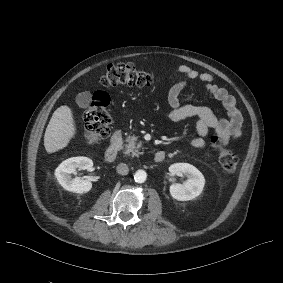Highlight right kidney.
<instances>
[{
    "label": "right kidney",
    "instance_id": "obj_1",
    "mask_svg": "<svg viewBox=\"0 0 283 283\" xmlns=\"http://www.w3.org/2000/svg\"><path fill=\"white\" fill-rule=\"evenodd\" d=\"M93 167V161L90 158L79 156L72 157L63 161L55 170V177L59 184L68 191L74 193H86L92 188V183L88 179L79 177L71 178V174L76 169L90 170Z\"/></svg>",
    "mask_w": 283,
    "mask_h": 283
}]
</instances>
